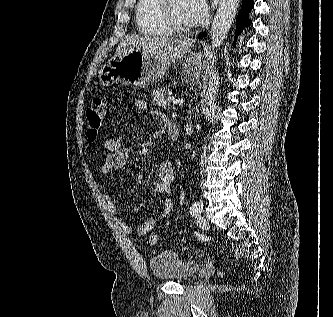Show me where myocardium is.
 Returning <instances> with one entry per match:
<instances>
[{"instance_id":"1","label":"myocardium","mask_w":333,"mask_h":317,"mask_svg":"<svg viewBox=\"0 0 333 317\" xmlns=\"http://www.w3.org/2000/svg\"><path fill=\"white\" fill-rule=\"evenodd\" d=\"M174 0H157V13L161 23L171 32L177 35H187L194 30V26L183 27L175 22L172 15Z\"/></svg>"}]
</instances>
